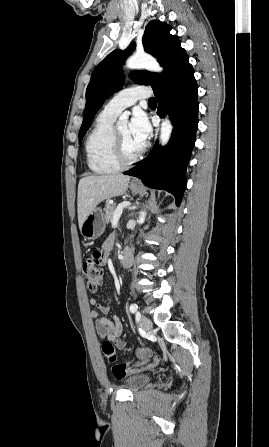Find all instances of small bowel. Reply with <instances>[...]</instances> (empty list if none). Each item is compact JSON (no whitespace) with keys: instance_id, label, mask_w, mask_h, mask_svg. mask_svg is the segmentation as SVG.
I'll return each mask as SVG.
<instances>
[{"instance_id":"1","label":"small bowel","mask_w":269,"mask_h":447,"mask_svg":"<svg viewBox=\"0 0 269 447\" xmlns=\"http://www.w3.org/2000/svg\"><path fill=\"white\" fill-rule=\"evenodd\" d=\"M113 238H109L104 245V249L107 251L110 249ZM90 303L97 307V310L91 311L90 315L96 320V329L99 336L103 339H107L114 342L119 349H124L126 344L120 339V335L123 330L122 323L117 316H113V320H109L102 314H107L109 312L108 304H100L97 298L92 297ZM152 356H140L141 361H150Z\"/></svg>"}]
</instances>
